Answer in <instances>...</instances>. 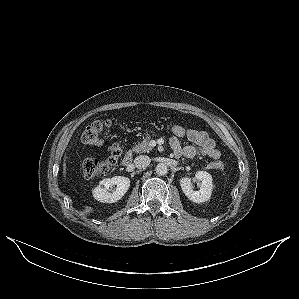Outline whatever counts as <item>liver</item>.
I'll return each mask as SVG.
<instances>
[{
	"label": "liver",
	"instance_id": "liver-1",
	"mask_svg": "<svg viewBox=\"0 0 299 299\" xmlns=\"http://www.w3.org/2000/svg\"><path fill=\"white\" fill-rule=\"evenodd\" d=\"M66 156L64 157V163H63V175H64V177H66V168H67V166H66Z\"/></svg>",
	"mask_w": 299,
	"mask_h": 299
}]
</instances>
